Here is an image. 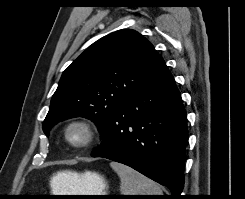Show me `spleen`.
I'll return each mask as SVG.
<instances>
[{"instance_id": "3e777b00", "label": "spleen", "mask_w": 245, "mask_h": 199, "mask_svg": "<svg viewBox=\"0 0 245 199\" xmlns=\"http://www.w3.org/2000/svg\"><path fill=\"white\" fill-rule=\"evenodd\" d=\"M110 166L120 177L122 195H163L158 184L134 169L117 162H111Z\"/></svg>"}]
</instances>
